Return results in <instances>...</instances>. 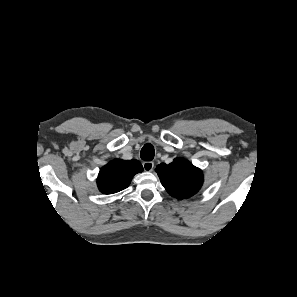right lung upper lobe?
<instances>
[{
  "mask_svg": "<svg viewBox=\"0 0 297 297\" xmlns=\"http://www.w3.org/2000/svg\"><path fill=\"white\" fill-rule=\"evenodd\" d=\"M143 167L137 160H113L99 172L97 184L104 194H113L127 188L136 173L142 172Z\"/></svg>",
  "mask_w": 297,
  "mask_h": 297,
  "instance_id": "obj_1",
  "label": "right lung upper lobe"
}]
</instances>
